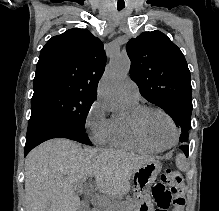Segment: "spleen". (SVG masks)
I'll use <instances>...</instances> for the list:
<instances>
[{
	"label": "spleen",
	"mask_w": 219,
	"mask_h": 211,
	"mask_svg": "<svg viewBox=\"0 0 219 211\" xmlns=\"http://www.w3.org/2000/svg\"><path fill=\"white\" fill-rule=\"evenodd\" d=\"M176 165L180 171H186L188 167V161L184 153H178V155H176Z\"/></svg>",
	"instance_id": "3e777b00"
}]
</instances>
